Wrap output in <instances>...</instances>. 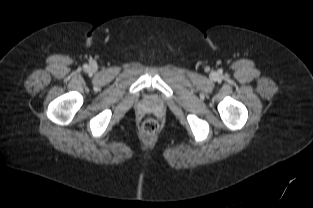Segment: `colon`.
<instances>
[{
    "mask_svg": "<svg viewBox=\"0 0 313 208\" xmlns=\"http://www.w3.org/2000/svg\"><path fill=\"white\" fill-rule=\"evenodd\" d=\"M141 131L147 137L154 136L159 131V123L155 119H147L143 122Z\"/></svg>",
    "mask_w": 313,
    "mask_h": 208,
    "instance_id": "colon-1",
    "label": "colon"
}]
</instances>
